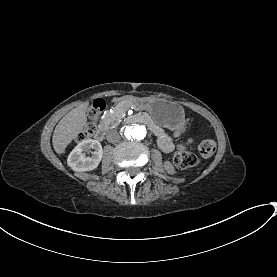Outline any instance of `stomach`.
Instances as JSON below:
<instances>
[{
    "mask_svg": "<svg viewBox=\"0 0 277 277\" xmlns=\"http://www.w3.org/2000/svg\"><path fill=\"white\" fill-rule=\"evenodd\" d=\"M132 102L139 109L147 110L151 117L161 126L178 129L185 122L182 106L160 98H133Z\"/></svg>",
    "mask_w": 277,
    "mask_h": 277,
    "instance_id": "1",
    "label": "stomach"
}]
</instances>
